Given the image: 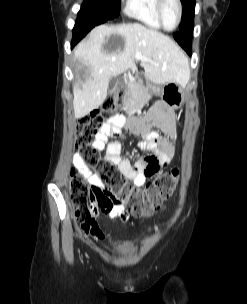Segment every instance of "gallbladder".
I'll use <instances>...</instances> for the list:
<instances>
[{
	"mask_svg": "<svg viewBox=\"0 0 247 304\" xmlns=\"http://www.w3.org/2000/svg\"><path fill=\"white\" fill-rule=\"evenodd\" d=\"M118 79L116 76L111 77L110 81H109V85H108V91L109 93H112L117 85Z\"/></svg>",
	"mask_w": 247,
	"mask_h": 304,
	"instance_id": "obj_1",
	"label": "gallbladder"
}]
</instances>
